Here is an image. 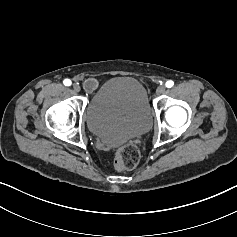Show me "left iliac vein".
Listing matches in <instances>:
<instances>
[{"label": "left iliac vein", "instance_id": "left-iliac-vein-1", "mask_svg": "<svg viewBox=\"0 0 237 237\" xmlns=\"http://www.w3.org/2000/svg\"><path fill=\"white\" fill-rule=\"evenodd\" d=\"M165 91H166V89H165V86H163V85L157 87V90H156V92H157L158 94H164Z\"/></svg>", "mask_w": 237, "mask_h": 237}]
</instances>
